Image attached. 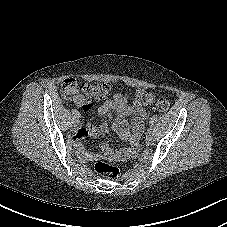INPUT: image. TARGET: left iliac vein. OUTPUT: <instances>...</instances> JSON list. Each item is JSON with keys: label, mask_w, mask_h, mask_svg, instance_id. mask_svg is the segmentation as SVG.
Listing matches in <instances>:
<instances>
[{"label": "left iliac vein", "mask_w": 227, "mask_h": 227, "mask_svg": "<svg viewBox=\"0 0 227 227\" xmlns=\"http://www.w3.org/2000/svg\"><path fill=\"white\" fill-rule=\"evenodd\" d=\"M145 142H146L147 145H152L154 143V137L150 134L147 135Z\"/></svg>", "instance_id": "1"}]
</instances>
